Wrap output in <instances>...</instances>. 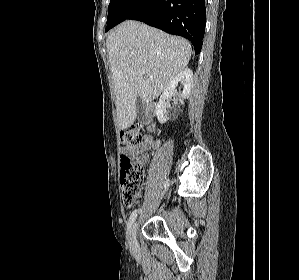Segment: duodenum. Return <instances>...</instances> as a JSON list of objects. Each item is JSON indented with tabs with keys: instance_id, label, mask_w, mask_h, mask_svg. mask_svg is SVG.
Wrapping results in <instances>:
<instances>
[{
	"instance_id": "410a0bca",
	"label": "duodenum",
	"mask_w": 299,
	"mask_h": 280,
	"mask_svg": "<svg viewBox=\"0 0 299 280\" xmlns=\"http://www.w3.org/2000/svg\"><path fill=\"white\" fill-rule=\"evenodd\" d=\"M153 110H154V105L151 104L149 107H148V113L149 115H151L153 113Z\"/></svg>"
}]
</instances>
